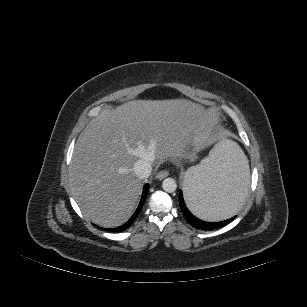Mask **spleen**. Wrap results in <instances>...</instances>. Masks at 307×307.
<instances>
[{
    "instance_id": "obj_1",
    "label": "spleen",
    "mask_w": 307,
    "mask_h": 307,
    "mask_svg": "<svg viewBox=\"0 0 307 307\" xmlns=\"http://www.w3.org/2000/svg\"><path fill=\"white\" fill-rule=\"evenodd\" d=\"M188 208L206 221L227 219L244 209L249 200L248 161L230 139L215 141L198 166L185 176Z\"/></svg>"
}]
</instances>
